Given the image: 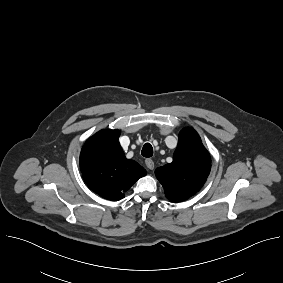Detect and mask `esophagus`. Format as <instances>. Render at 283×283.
Returning a JSON list of instances; mask_svg holds the SVG:
<instances>
[{
	"label": "esophagus",
	"instance_id": "esophagus-1",
	"mask_svg": "<svg viewBox=\"0 0 283 283\" xmlns=\"http://www.w3.org/2000/svg\"><path fill=\"white\" fill-rule=\"evenodd\" d=\"M145 164L149 170L154 169V161L152 159H146Z\"/></svg>",
	"mask_w": 283,
	"mask_h": 283
}]
</instances>
